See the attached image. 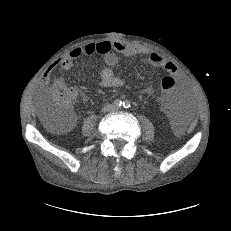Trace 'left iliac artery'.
<instances>
[{
    "mask_svg": "<svg viewBox=\"0 0 231 231\" xmlns=\"http://www.w3.org/2000/svg\"><path fill=\"white\" fill-rule=\"evenodd\" d=\"M131 105H130V102L128 101V100H125L124 102H123V107L124 108H129Z\"/></svg>",
    "mask_w": 231,
    "mask_h": 231,
    "instance_id": "obj_1",
    "label": "left iliac artery"
}]
</instances>
